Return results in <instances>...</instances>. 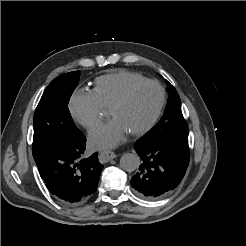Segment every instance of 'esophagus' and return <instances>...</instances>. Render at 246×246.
<instances>
[{"label":"esophagus","instance_id":"34e87169","mask_svg":"<svg viewBox=\"0 0 246 246\" xmlns=\"http://www.w3.org/2000/svg\"><path fill=\"white\" fill-rule=\"evenodd\" d=\"M116 157V154L111 151H102L100 152L99 159L101 162L106 163Z\"/></svg>","mask_w":246,"mask_h":246}]
</instances>
